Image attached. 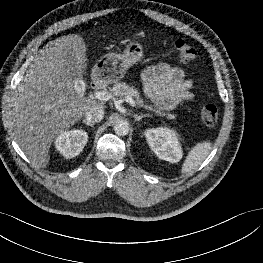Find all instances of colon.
I'll return each instance as SVG.
<instances>
[{"label": "colon", "mask_w": 263, "mask_h": 263, "mask_svg": "<svg viewBox=\"0 0 263 263\" xmlns=\"http://www.w3.org/2000/svg\"><path fill=\"white\" fill-rule=\"evenodd\" d=\"M173 45L178 52L180 59L185 63L193 62L196 59V50L182 38H173ZM219 117V110L213 103H207L200 110V118L207 126H214Z\"/></svg>", "instance_id": "5ec220e1"}]
</instances>
